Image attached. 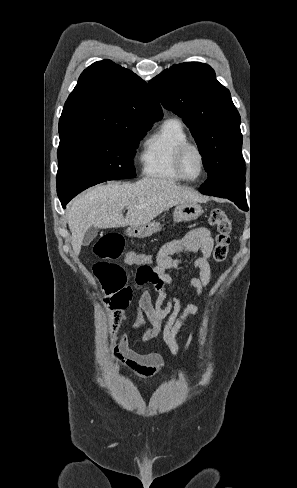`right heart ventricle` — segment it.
I'll list each match as a JSON object with an SVG mask.
<instances>
[{
  "mask_svg": "<svg viewBox=\"0 0 297 488\" xmlns=\"http://www.w3.org/2000/svg\"><path fill=\"white\" fill-rule=\"evenodd\" d=\"M186 142L189 137L180 120L163 121L144 141L140 154L143 174L156 180L181 181L174 167V157L179 146Z\"/></svg>",
  "mask_w": 297,
  "mask_h": 488,
  "instance_id": "e07e8e85",
  "label": "right heart ventricle"
}]
</instances>
